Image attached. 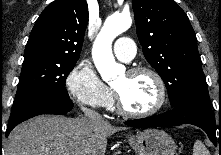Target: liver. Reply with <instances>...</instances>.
<instances>
[{
	"label": "liver",
	"instance_id": "obj_1",
	"mask_svg": "<svg viewBox=\"0 0 221 155\" xmlns=\"http://www.w3.org/2000/svg\"><path fill=\"white\" fill-rule=\"evenodd\" d=\"M102 120L42 115L16 126L4 155H105L107 137L125 130Z\"/></svg>",
	"mask_w": 221,
	"mask_h": 155
}]
</instances>
